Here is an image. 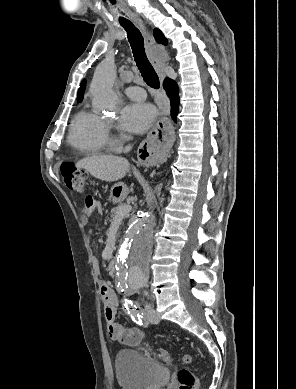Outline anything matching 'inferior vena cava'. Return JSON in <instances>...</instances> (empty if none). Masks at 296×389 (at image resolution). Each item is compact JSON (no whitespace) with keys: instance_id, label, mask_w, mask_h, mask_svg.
Returning <instances> with one entry per match:
<instances>
[{"instance_id":"obj_1","label":"inferior vena cava","mask_w":296,"mask_h":389,"mask_svg":"<svg viewBox=\"0 0 296 389\" xmlns=\"http://www.w3.org/2000/svg\"><path fill=\"white\" fill-rule=\"evenodd\" d=\"M130 149V146H128L127 148H126V151H128Z\"/></svg>"}]
</instances>
